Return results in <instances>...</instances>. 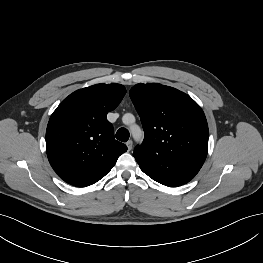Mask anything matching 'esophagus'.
<instances>
[{
    "mask_svg": "<svg viewBox=\"0 0 263 263\" xmlns=\"http://www.w3.org/2000/svg\"><path fill=\"white\" fill-rule=\"evenodd\" d=\"M126 146L128 148V151H130L132 149V146H133V141L132 140H128L126 142Z\"/></svg>",
    "mask_w": 263,
    "mask_h": 263,
    "instance_id": "esophagus-1",
    "label": "esophagus"
}]
</instances>
